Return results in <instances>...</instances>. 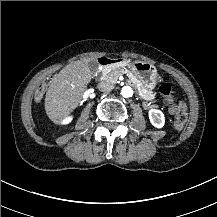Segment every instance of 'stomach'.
Instances as JSON below:
<instances>
[{
  "instance_id": "obj_1",
  "label": "stomach",
  "mask_w": 217,
  "mask_h": 217,
  "mask_svg": "<svg viewBox=\"0 0 217 217\" xmlns=\"http://www.w3.org/2000/svg\"><path fill=\"white\" fill-rule=\"evenodd\" d=\"M130 68L135 77L140 80L144 87L153 90L158 82V73L156 67L145 61H134Z\"/></svg>"
}]
</instances>
